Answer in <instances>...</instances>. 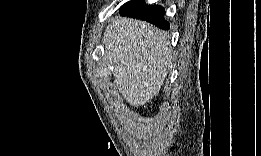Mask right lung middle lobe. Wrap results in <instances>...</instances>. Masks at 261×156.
Listing matches in <instances>:
<instances>
[{
    "instance_id": "dd1d6c3e",
    "label": "right lung middle lobe",
    "mask_w": 261,
    "mask_h": 156,
    "mask_svg": "<svg viewBox=\"0 0 261 156\" xmlns=\"http://www.w3.org/2000/svg\"><path fill=\"white\" fill-rule=\"evenodd\" d=\"M131 2H132V1H130V2L126 3V4H124V5L121 7V11H122L123 9H125L129 4H131Z\"/></svg>"
}]
</instances>
